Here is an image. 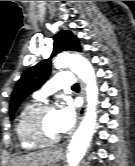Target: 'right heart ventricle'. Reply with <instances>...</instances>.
I'll use <instances>...</instances> for the list:
<instances>
[{
    "label": "right heart ventricle",
    "mask_w": 135,
    "mask_h": 166,
    "mask_svg": "<svg viewBox=\"0 0 135 166\" xmlns=\"http://www.w3.org/2000/svg\"><path fill=\"white\" fill-rule=\"evenodd\" d=\"M38 104H39V102L37 100H32L30 102H27L25 105L22 106V108L20 109V111L16 117V120H15L14 135H15V138H16L18 144L20 145V147L25 150L34 149L37 147V145L25 140L22 137L21 131H20L21 121H22L24 115L26 114V112Z\"/></svg>",
    "instance_id": "1"
}]
</instances>
